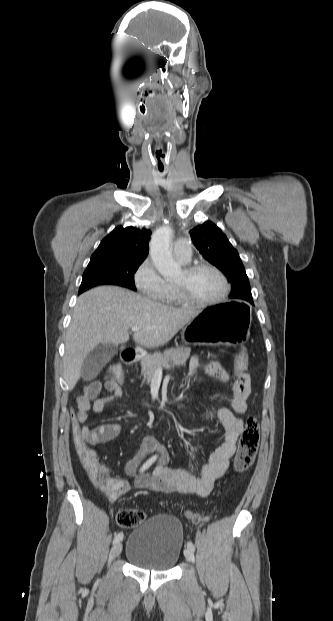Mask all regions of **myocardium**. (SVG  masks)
I'll return each instance as SVG.
<instances>
[{
    "mask_svg": "<svg viewBox=\"0 0 333 621\" xmlns=\"http://www.w3.org/2000/svg\"><path fill=\"white\" fill-rule=\"evenodd\" d=\"M200 270L213 271L215 274H217L220 277L224 285V289L222 293L218 297L213 298V299L199 300V299L193 298L182 284L174 283V288H175V291L178 297L184 303H187L190 305H198V306L214 305V304L223 302L228 297L231 291V285L226 275L223 273L222 270H220L215 265L206 263V262L191 264L184 268L185 273L188 275L194 274Z\"/></svg>",
    "mask_w": 333,
    "mask_h": 621,
    "instance_id": "myocardium-1",
    "label": "myocardium"
}]
</instances>
